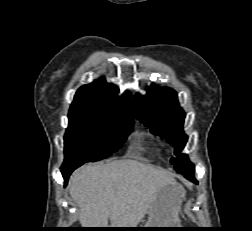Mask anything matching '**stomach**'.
Wrapping results in <instances>:
<instances>
[{
	"instance_id": "1",
	"label": "stomach",
	"mask_w": 252,
	"mask_h": 231,
	"mask_svg": "<svg viewBox=\"0 0 252 231\" xmlns=\"http://www.w3.org/2000/svg\"><path fill=\"white\" fill-rule=\"evenodd\" d=\"M184 196V188L176 181H172L163 186L150 205L148 221L140 228H179L177 227L179 223L178 213Z\"/></svg>"
}]
</instances>
